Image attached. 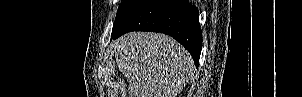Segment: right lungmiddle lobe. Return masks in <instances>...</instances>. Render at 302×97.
<instances>
[{
	"mask_svg": "<svg viewBox=\"0 0 302 97\" xmlns=\"http://www.w3.org/2000/svg\"><path fill=\"white\" fill-rule=\"evenodd\" d=\"M144 2L145 0H126L122 3L118 8L112 32L116 31Z\"/></svg>",
	"mask_w": 302,
	"mask_h": 97,
	"instance_id": "1",
	"label": "right lung middle lobe"
}]
</instances>
